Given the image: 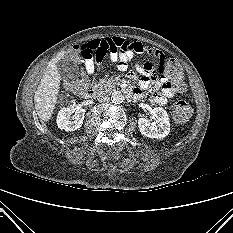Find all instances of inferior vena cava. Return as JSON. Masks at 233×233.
Segmentation results:
<instances>
[{"label": "inferior vena cava", "mask_w": 233, "mask_h": 233, "mask_svg": "<svg viewBox=\"0 0 233 233\" xmlns=\"http://www.w3.org/2000/svg\"><path fill=\"white\" fill-rule=\"evenodd\" d=\"M110 99L109 95L107 93H101L97 96V100L99 102H106Z\"/></svg>", "instance_id": "inferior-vena-cava-1"}]
</instances>
